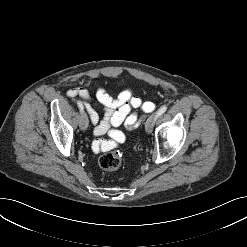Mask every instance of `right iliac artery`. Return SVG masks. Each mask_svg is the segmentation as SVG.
Returning <instances> with one entry per match:
<instances>
[{
  "mask_svg": "<svg viewBox=\"0 0 247 247\" xmlns=\"http://www.w3.org/2000/svg\"><path fill=\"white\" fill-rule=\"evenodd\" d=\"M78 104V107H79V109H80V112H83V105H82V103L81 102H78L77 103Z\"/></svg>",
  "mask_w": 247,
  "mask_h": 247,
  "instance_id": "obj_1",
  "label": "right iliac artery"
}]
</instances>
